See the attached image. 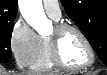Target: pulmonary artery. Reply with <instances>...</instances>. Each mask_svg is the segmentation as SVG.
Here are the masks:
<instances>
[{
  "label": "pulmonary artery",
  "instance_id": "obj_1",
  "mask_svg": "<svg viewBox=\"0 0 107 75\" xmlns=\"http://www.w3.org/2000/svg\"><path fill=\"white\" fill-rule=\"evenodd\" d=\"M43 7L45 12L54 20H59L61 17V10L57 0H44Z\"/></svg>",
  "mask_w": 107,
  "mask_h": 75
}]
</instances>
